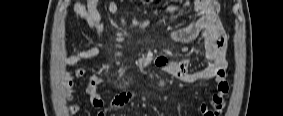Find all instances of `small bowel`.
Listing matches in <instances>:
<instances>
[{
  "label": "small bowel",
  "mask_w": 283,
  "mask_h": 116,
  "mask_svg": "<svg viewBox=\"0 0 283 116\" xmlns=\"http://www.w3.org/2000/svg\"><path fill=\"white\" fill-rule=\"evenodd\" d=\"M74 12L83 19L90 30L98 37L102 38L103 25L100 19L99 1L89 0L86 5L76 2L73 6ZM218 4L211 0H195L193 1V15L196 21L189 26L173 31L171 37L175 41L188 42L198 37L201 38L198 52L202 55V63L199 70L191 73L189 71L190 60L184 59L174 62L166 57H158L155 64L175 80L187 83H193L202 80H215L217 83V92L213 95L211 105L201 104L199 112L201 116H215V113L223 109L225 105L226 95L229 90L226 80V50L227 37L221 21L218 16ZM120 8L114 1H110L107 5V11L111 15L119 12ZM175 11V8H169L168 12ZM74 53L65 57L63 60L66 66H75L80 62L91 60L102 55L99 46L95 45L87 50H78L73 47ZM151 62V57L146 56L140 61L142 66H146ZM87 72L86 67H79L73 73V76L82 77ZM72 95L83 93L89 102L96 108L104 107L105 103L100 97L94 82H86L82 89L78 91L75 88L73 79L68 81ZM151 92H128L117 96L110 104V109L119 110L136 99L153 98ZM77 104L68 107V115H74L80 110ZM99 116L105 115V112H99Z\"/></svg>",
  "instance_id": "c3829d8e"
}]
</instances>
